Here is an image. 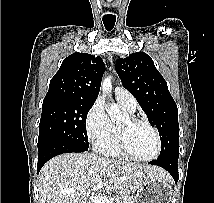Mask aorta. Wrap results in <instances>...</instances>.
<instances>
[{"label": "aorta", "instance_id": "obj_1", "mask_svg": "<svg viewBox=\"0 0 214 203\" xmlns=\"http://www.w3.org/2000/svg\"><path fill=\"white\" fill-rule=\"evenodd\" d=\"M101 88L102 91L106 94L111 93L112 90V82H111V77H105L102 80V84H101ZM107 112L111 118L112 121H118L120 119H122L124 117V114L122 113V111L119 109V107L116 104H112L108 109Z\"/></svg>", "mask_w": 214, "mask_h": 203}]
</instances>
